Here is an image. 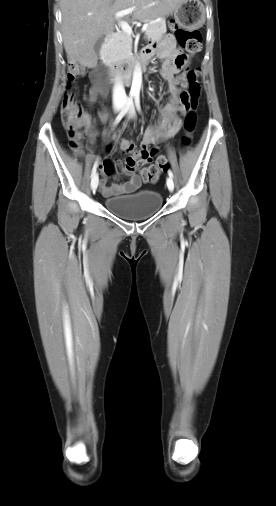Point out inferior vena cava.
<instances>
[{
	"label": "inferior vena cava",
	"instance_id": "1",
	"mask_svg": "<svg viewBox=\"0 0 276 506\" xmlns=\"http://www.w3.org/2000/svg\"><path fill=\"white\" fill-rule=\"evenodd\" d=\"M126 93L121 81H117L113 87V102H124L126 101Z\"/></svg>",
	"mask_w": 276,
	"mask_h": 506
}]
</instances>
